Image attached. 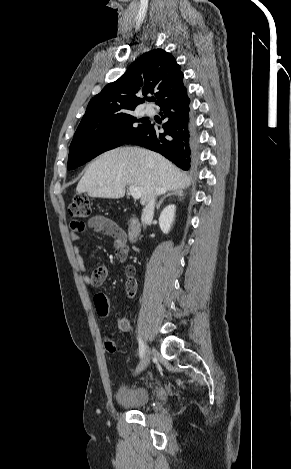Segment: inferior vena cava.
<instances>
[{
  "label": "inferior vena cava",
  "instance_id": "602c4592",
  "mask_svg": "<svg viewBox=\"0 0 291 469\" xmlns=\"http://www.w3.org/2000/svg\"><path fill=\"white\" fill-rule=\"evenodd\" d=\"M159 193H160V189L157 187L155 189V193L152 195L150 201L147 203V205L143 209L141 220H142V224H143L144 227H145L146 220L148 218L153 217V215H154L155 198Z\"/></svg>",
  "mask_w": 291,
  "mask_h": 469
}]
</instances>
